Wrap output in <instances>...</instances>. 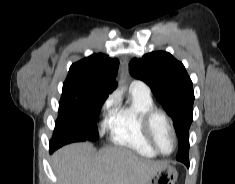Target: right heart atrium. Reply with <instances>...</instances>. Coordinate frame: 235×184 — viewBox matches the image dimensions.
I'll list each match as a JSON object with an SVG mask.
<instances>
[{"label":"right heart atrium","mask_w":235,"mask_h":184,"mask_svg":"<svg viewBox=\"0 0 235 184\" xmlns=\"http://www.w3.org/2000/svg\"><path fill=\"white\" fill-rule=\"evenodd\" d=\"M119 104V96L116 92L110 94L101 105V115L98 133L100 136H104L107 131L110 130L113 113L117 109Z\"/></svg>","instance_id":"d8ad5b80"}]
</instances>
